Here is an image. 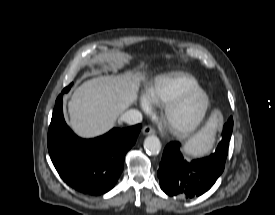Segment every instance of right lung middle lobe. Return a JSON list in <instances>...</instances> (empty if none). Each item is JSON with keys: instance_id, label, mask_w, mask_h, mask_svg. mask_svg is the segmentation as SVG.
I'll return each mask as SVG.
<instances>
[{"instance_id": "right-lung-middle-lobe-1", "label": "right lung middle lobe", "mask_w": 275, "mask_h": 215, "mask_svg": "<svg viewBox=\"0 0 275 215\" xmlns=\"http://www.w3.org/2000/svg\"><path fill=\"white\" fill-rule=\"evenodd\" d=\"M71 86H72V83L69 86H67L66 88H64V90L62 91V94L67 93L70 90Z\"/></svg>"}]
</instances>
